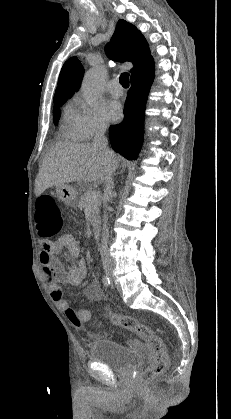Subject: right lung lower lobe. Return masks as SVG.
I'll list each match as a JSON object with an SVG mask.
<instances>
[{"label": "right lung lower lobe", "instance_id": "1", "mask_svg": "<svg viewBox=\"0 0 231 419\" xmlns=\"http://www.w3.org/2000/svg\"><path fill=\"white\" fill-rule=\"evenodd\" d=\"M154 78V61L131 75V88L124 106V119L109 129L113 149L129 160L136 159L144 134V113Z\"/></svg>", "mask_w": 231, "mask_h": 419}]
</instances>
